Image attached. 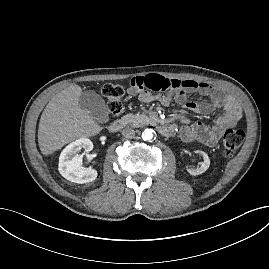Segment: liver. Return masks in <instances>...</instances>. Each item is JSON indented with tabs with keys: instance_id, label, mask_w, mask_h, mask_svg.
<instances>
[{
	"instance_id": "6515ba94",
	"label": "liver",
	"mask_w": 269,
	"mask_h": 269,
	"mask_svg": "<svg viewBox=\"0 0 269 269\" xmlns=\"http://www.w3.org/2000/svg\"><path fill=\"white\" fill-rule=\"evenodd\" d=\"M82 88L71 84L56 94L45 107L39 122L38 144L49 155L78 138L98 134L102 127L79 106Z\"/></svg>"
}]
</instances>
